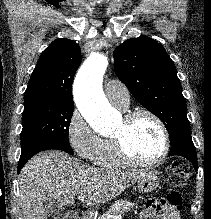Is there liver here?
Segmentation results:
<instances>
[{"label": "liver", "mask_w": 211, "mask_h": 219, "mask_svg": "<svg viewBox=\"0 0 211 219\" xmlns=\"http://www.w3.org/2000/svg\"><path fill=\"white\" fill-rule=\"evenodd\" d=\"M146 170L118 171L80 165L61 151L31 158L19 175V198L24 219H44V203L54 198L71 206L77 194L88 193L87 206L107 203L140 180Z\"/></svg>", "instance_id": "liver-1"}]
</instances>
